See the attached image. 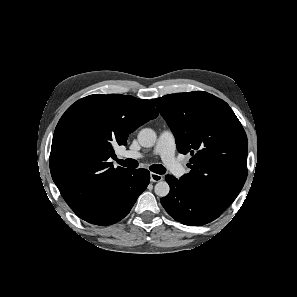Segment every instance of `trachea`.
Returning a JSON list of instances; mask_svg holds the SVG:
<instances>
[{
  "instance_id": "trachea-1",
  "label": "trachea",
  "mask_w": 297,
  "mask_h": 297,
  "mask_svg": "<svg viewBox=\"0 0 297 297\" xmlns=\"http://www.w3.org/2000/svg\"><path fill=\"white\" fill-rule=\"evenodd\" d=\"M117 162L124 166V167H128V168H137L138 167V162L135 159H126V160H122V159H117ZM150 170L154 173L157 174H164L166 169L163 165L161 164H153L150 166Z\"/></svg>"
}]
</instances>
